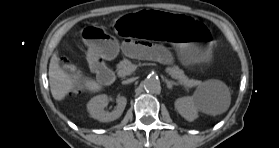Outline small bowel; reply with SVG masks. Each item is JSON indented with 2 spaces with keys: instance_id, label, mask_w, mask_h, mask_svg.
Instances as JSON below:
<instances>
[{
  "instance_id": "obj_1",
  "label": "small bowel",
  "mask_w": 279,
  "mask_h": 148,
  "mask_svg": "<svg viewBox=\"0 0 279 148\" xmlns=\"http://www.w3.org/2000/svg\"><path fill=\"white\" fill-rule=\"evenodd\" d=\"M122 52L130 58L152 59L162 63L171 60L169 52L164 47L132 38L123 41Z\"/></svg>"
}]
</instances>
